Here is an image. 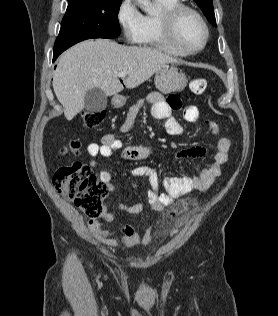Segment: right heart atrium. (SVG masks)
<instances>
[{
  "instance_id": "right-heart-atrium-1",
  "label": "right heart atrium",
  "mask_w": 278,
  "mask_h": 316,
  "mask_svg": "<svg viewBox=\"0 0 278 316\" xmlns=\"http://www.w3.org/2000/svg\"><path fill=\"white\" fill-rule=\"evenodd\" d=\"M116 19L124 39L137 43L142 30L143 15L134 0H120Z\"/></svg>"
}]
</instances>
